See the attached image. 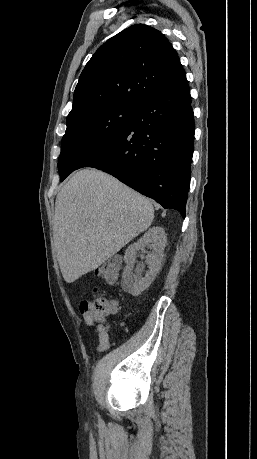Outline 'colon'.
I'll use <instances>...</instances> for the list:
<instances>
[{
    "mask_svg": "<svg viewBox=\"0 0 257 459\" xmlns=\"http://www.w3.org/2000/svg\"><path fill=\"white\" fill-rule=\"evenodd\" d=\"M121 267V261L118 258L109 259L98 269V276L111 281L116 278ZM112 301L105 297L97 296L92 299L83 300L80 304L82 313L92 314L96 319L103 320L112 313Z\"/></svg>",
    "mask_w": 257,
    "mask_h": 459,
    "instance_id": "colon-1",
    "label": "colon"
}]
</instances>
